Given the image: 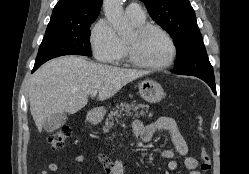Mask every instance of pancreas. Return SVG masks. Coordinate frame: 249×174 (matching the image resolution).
<instances>
[{"label": "pancreas", "instance_id": "cf45deb5", "mask_svg": "<svg viewBox=\"0 0 249 174\" xmlns=\"http://www.w3.org/2000/svg\"><path fill=\"white\" fill-rule=\"evenodd\" d=\"M144 109H147V106L142 103L136 104L135 102H132V103H120L119 105H116V108L113 109V111H111L110 114L108 115L103 130L107 132L113 126L114 119H117L118 117L121 116H131L132 115L131 110L135 112L140 111V115H143Z\"/></svg>", "mask_w": 249, "mask_h": 174}]
</instances>
